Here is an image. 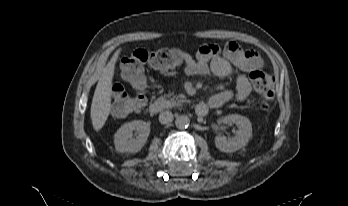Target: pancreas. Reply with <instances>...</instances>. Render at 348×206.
Here are the masks:
<instances>
[{
    "label": "pancreas",
    "mask_w": 348,
    "mask_h": 206,
    "mask_svg": "<svg viewBox=\"0 0 348 206\" xmlns=\"http://www.w3.org/2000/svg\"><path fill=\"white\" fill-rule=\"evenodd\" d=\"M161 99L166 101L168 107H180L182 106L183 103L187 101L185 98V95L183 94L173 95V93L164 95L161 97Z\"/></svg>",
    "instance_id": "pancreas-1"
}]
</instances>
